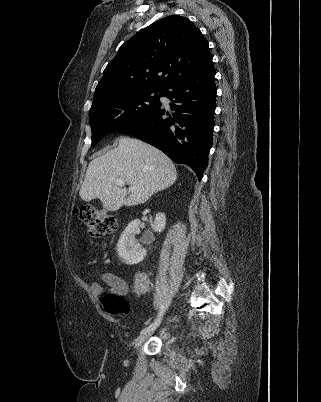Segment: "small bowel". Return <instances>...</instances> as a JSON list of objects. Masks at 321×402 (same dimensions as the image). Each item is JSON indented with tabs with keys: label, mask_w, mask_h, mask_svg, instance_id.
Segmentation results:
<instances>
[{
	"label": "small bowel",
	"mask_w": 321,
	"mask_h": 402,
	"mask_svg": "<svg viewBox=\"0 0 321 402\" xmlns=\"http://www.w3.org/2000/svg\"><path fill=\"white\" fill-rule=\"evenodd\" d=\"M100 279L109 286V291L126 295L128 292V285L122 278L108 272H98ZM91 289L95 294H101L104 292V288L99 283H93ZM134 290L137 293H146L149 290V279L143 272H138L134 276Z\"/></svg>",
	"instance_id": "c3829d8e"
}]
</instances>
